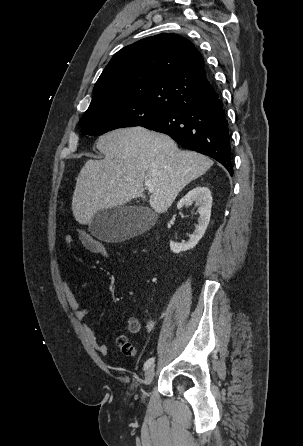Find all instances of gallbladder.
I'll use <instances>...</instances> for the list:
<instances>
[{"label":"gallbladder","instance_id":"bac80fb5","mask_svg":"<svg viewBox=\"0 0 303 446\" xmlns=\"http://www.w3.org/2000/svg\"><path fill=\"white\" fill-rule=\"evenodd\" d=\"M155 214L138 206H119L96 213L89 225L90 233L100 240L122 241L147 230Z\"/></svg>","mask_w":303,"mask_h":446}]
</instances>
